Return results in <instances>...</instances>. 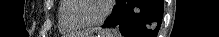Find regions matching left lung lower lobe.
Segmentation results:
<instances>
[{"label":"left lung lower lobe","instance_id":"0a47b994","mask_svg":"<svg viewBox=\"0 0 219 37\" xmlns=\"http://www.w3.org/2000/svg\"><path fill=\"white\" fill-rule=\"evenodd\" d=\"M102 27L118 26L124 37H156L163 17V0H116Z\"/></svg>","mask_w":219,"mask_h":37}]
</instances>
